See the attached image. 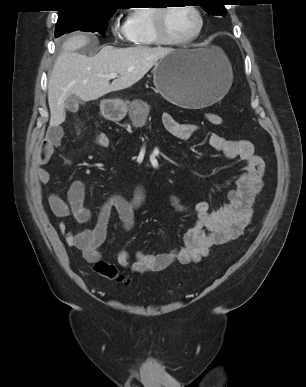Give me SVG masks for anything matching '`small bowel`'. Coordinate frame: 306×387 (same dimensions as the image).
I'll return each mask as SVG.
<instances>
[{
    "label": "small bowel",
    "instance_id": "obj_1",
    "mask_svg": "<svg viewBox=\"0 0 306 387\" xmlns=\"http://www.w3.org/2000/svg\"><path fill=\"white\" fill-rule=\"evenodd\" d=\"M165 129L180 140H188L194 136L198 126L180 123L169 113L162 115ZM63 131L60 126H53L40 145L36 157V176L47 184L50 174L44 166L50 161L54 149L60 146ZM209 145L226 158H239L245 163L244 172L239 176L236 187L229 191V202L217 210H210L208 202L201 201L194 205L195 224L183 237L182 246L168 252L147 254L137 252L135 260L127 250H122L117 256L118 264L133 273L159 272L168 268L174 262L188 264L199 262L206 257L211 249L225 245L239 238L251 221L253 206L257 195L263 186L265 165L263 159L255 153L254 145L245 139L228 140L223 136L211 133ZM85 186L75 180L67 191V199L51 192L48 197L53 214L59 218L72 216L78 223L84 224L91 219V211L84 205ZM145 201V192L136 188L132 199H126L120 194L109 195L100 205L95 226L72 232L65 222L59 224V231L65 235L70 247L80 249L84 258L95 263L101 259L100 247L106 239L110 214L115 210L119 216L123 230L129 231L134 224V215ZM174 207L185 211V207L176 197L172 198Z\"/></svg>",
    "mask_w": 306,
    "mask_h": 387
}]
</instances>
